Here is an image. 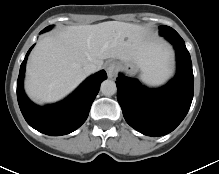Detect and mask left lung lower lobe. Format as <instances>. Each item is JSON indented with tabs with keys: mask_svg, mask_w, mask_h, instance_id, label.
Listing matches in <instances>:
<instances>
[{
	"mask_svg": "<svg viewBox=\"0 0 219 174\" xmlns=\"http://www.w3.org/2000/svg\"><path fill=\"white\" fill-rule=\"evenodd\" d=\"M177 56V74L166 86L150 90L137 80L120 74L117 77V99L127 123L148 136H163L172 132L185 118L190 108L194 77L190 54L179 34L165 36Z\"/></svg>",
	"mask_w": 219,
	"mask_h": 174,
	"instance_id": "1",
	"label": "left lung lower lobe"
}]
</instances>
